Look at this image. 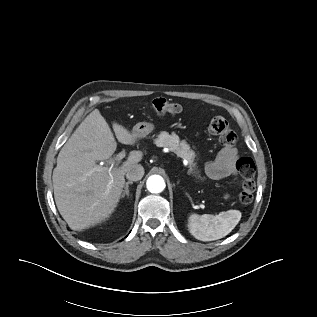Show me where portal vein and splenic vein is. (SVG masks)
<instances>
[{"label":"portal vein and splenic vein","instance_id":"portal-vein-and-splenic-vein-1","mask_svg":"<svg viewBox=\"0 0 317 317\" xmlns=\"http://www.w3.org/2000/svg\"><path fill=\"white\" fill-rule=\"evenodd\" d=\"M125 157V151H121L117 156H116V160L120 161L121 159H123ZM113 166H111L110 168H107L106 170H108V172H111ZM103 168H99L98 171H101ZM105 169V168H104Z\"/></svg>","mask_w":317,"mask_h":317}]
</instances>
